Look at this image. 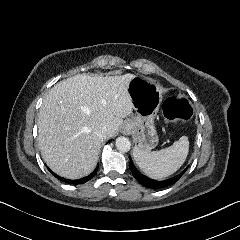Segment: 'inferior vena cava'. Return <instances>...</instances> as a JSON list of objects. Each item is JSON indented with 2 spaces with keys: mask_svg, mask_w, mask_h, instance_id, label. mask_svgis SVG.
Wrapping results in <instances>:
<instances>
[{
  "mask_svg": "<svg viewBox=\"0 0 240 240\" xmlns=\"http://www.w3.org/2000/svg\"><path fill=\"white\" fill-rule=\"evenodd\" d=\"M96 135L100 139H106L108 137V129L105 126H101L96 131Z\"/></svg>",
  "mask_w": 240,
  "mask_h": 240,
  "instance_id": "inferior-vena-cava-1",
  "label": "inferior vena cava"
}]
</instances>
